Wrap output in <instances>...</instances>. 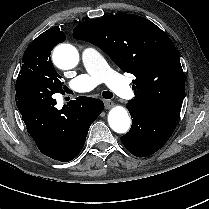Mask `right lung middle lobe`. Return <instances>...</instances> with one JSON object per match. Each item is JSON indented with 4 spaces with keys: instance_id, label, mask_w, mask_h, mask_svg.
Wrapping results in <instances>:
<instances>
[{
    "instance_id": "dd1d6c3e",
    "label": "right lung middle lobe",
    "mask_w": 209,
    "mask_h": 209,
    "mask_svg": "<svg viewBox=\"0 0 209 209\" xmlns=\"http://www.w3.org/2000/svg\"><path fill=\"white\" fill-rule=\"evenodd\" d=\"M56 46L51 36H38L24 52L22 67L17 80H27L38 86L49 89L52 93H62L64 83L55 71L50 54Z\"/></svg>"
}]
</instances>
